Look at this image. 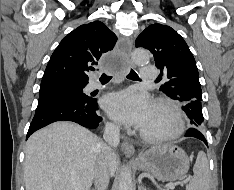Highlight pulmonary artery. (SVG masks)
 <instances>
[{
	"instance_id": "obj_1",
	"label": "pulmonary artery",
	"mask_w": 234,
	"mask_h": 190,
	"mask_svg": "<svg viewBox=\"0 0 234 190\" xmlns=\"http://www.w3.org/2000/svg\"><path fill=\"white\" fill-rule=\"evenodd\" d=\"M156 76V67L155 66H144L141 68V79L148 81ZM101 86L97 83L91 85V89H98Z\"/></svg>"
}]
</instances>
